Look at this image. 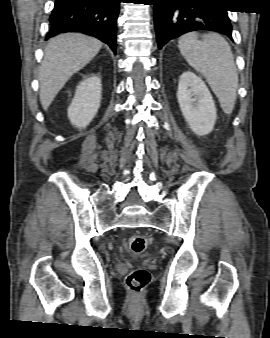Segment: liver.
Segmentation results:
<instances>
[{"mask_svg": "<svg viewBox=\"0 0 270 338\" xmlns=\"http://www.w3.org/2000/svg\"><path fill=\"white\" fill-rule=\"evenodd\" d=\"M102 42L79 33L52 38L39 70L40 102L47 110L72 75L85 67L100 51Z\"/></svg>", "mask_w": 270, "mask_h": 338, "instance_id": "1", "label": "liver"}]
</instances>
